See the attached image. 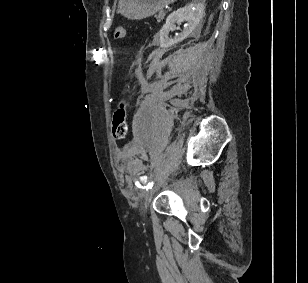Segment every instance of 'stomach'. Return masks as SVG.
Wrapping results in <instances>:
<instances>
[{"label": "stomach", "mask_w": 308, "mask_h": 283, "mask_svg": "<svg viewBox=\"0 0 308 283\" xmlns=\"http://www.w3.org/2000/svg\"><path fill=\"white\" fill-rule=\"evenodd\" d=\"M176 0H119L118 12L131 20H141L162 10Z\"/></svg>", "instance_id": "1"}]
</instances>
